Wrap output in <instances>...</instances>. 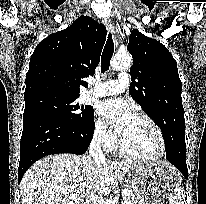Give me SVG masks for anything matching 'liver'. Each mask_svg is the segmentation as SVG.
Wrapping results in <instances>:
<instances>
[{"instance_id":"1","label":"liver","mask_w":206,"mask_h":204,"mask_svg":"<svg viewBox=\"0 0 206 204\" xmlns=\"http://www.w3.org/2000/svg\"><path fill=\"white\" fill-rule=\"evenodd\" d=\"M137 164L95 161L91 156H47L24 174L22 204H87L92 195H108Z\"/></svg>"}]
</instances>
